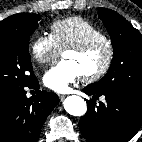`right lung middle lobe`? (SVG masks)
I'll use <instances>...</instances> for the list:
<instances>
[{
    "mask_svg": "<svg viewBox=\"0 0 142 142\" xmlns=\"http://www.w3.org/2000/svg\"><path fill=\"white\" fill-rule=\"evenodd\" d=\"M37 14L22 13L0 21V97L36 81L28 52L30 36L38 28Z\"/></svg>",
    "mask_w": 142,
    "mask_h": 142,
    "instance_id": "1",
    "label": "right lung middle lobe"
}]
</instances>
